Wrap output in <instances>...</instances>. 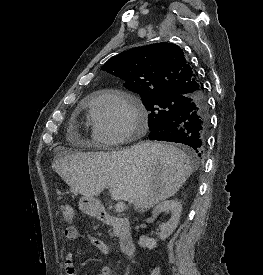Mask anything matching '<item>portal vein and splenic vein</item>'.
I'll return each instance as SVG.
<instances>
[{"label": "portal vein and splenic vein", "mask_w": 263, "mask_h": 275, "mask_svg": "<svg viewBox=\"0 0 263 275\" xmlns=\"http://www.w3.org/2000/svg\"><path fill=\"white\" fill-rule=\"evenodd\" d=\"M116 212L121 213L126 209V204L124 202H118L115 206Z\"/></svg>", "instance_id": "obj_1"}]
</instances>
